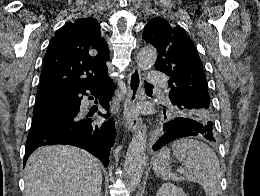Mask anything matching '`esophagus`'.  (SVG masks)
<instances>
[{"mask_svg":"<svg viewBox=\"0 0 260 196\" xmlns=\"http://www.w3.org/2000/svg\"><path fill=\"white\" fill-rule=\"evenodd\" d=\"M142 87L141 74L137 67H134L128 74V100L124 105L125 127L128 131H134L140 123V117L134 113L138 101L139 92Z\"/></svg>","mask_w":260,"mask_h":196,"instance_id":"1","label":"esophagus"}]
</instances>
